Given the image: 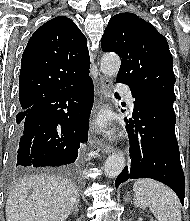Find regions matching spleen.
<instances>
[{
	"instance_id": "3e777b00",
	"label": "spleen",
	"mask_w": 190,
	"mask_h": 221,
	"mask_svg": "<svg viewBox=\"0 0 190 221\" xmlns=\"http://www.w3.org/2000/svg\"><path fill=\"white\" fill-rule=\"evenodd\" d=\"M134 205L149 207L159 221H181L180 202L167 186L151 179H138L133 185Z\"/></svg>"
}]
</instances>
